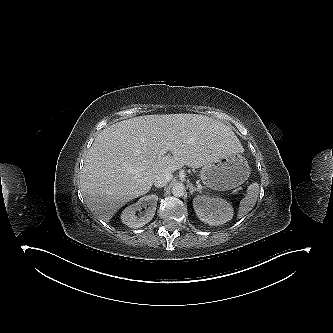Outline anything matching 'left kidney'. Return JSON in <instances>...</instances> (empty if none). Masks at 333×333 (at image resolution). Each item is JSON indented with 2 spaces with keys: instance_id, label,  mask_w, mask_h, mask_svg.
<instances>
[{
  "instance_id": "1",
  "label": "left kidney",
  "mask_w": 333,
  "mask_h": 333,
  "mask_svg": "<svg viewBox=\"0 0 333 333\" xmlns=\"http://www.w3.org/2000/svg\"><path fill=\"white\" fill-rule=\"evenodd\" d=\"M193 208L198 218L211 226H219L230 221L234 212L227 200L205 195L193 199Z\"/></svg>"
}]
</instances>
